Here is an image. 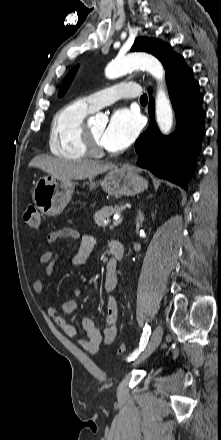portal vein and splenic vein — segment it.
Returning <instances> with one entry per match:
<instances>
[{"instance_id": "portal-vein-and-splenic-vein-1", "label": "portal vein and splenic vein", "mask_w": 221, "mask_h": 440, "mask_svg": "<svg viewBox=\"0 0 221 440\" xmlns=\"http://www.w3.org/2000/svg\"><path fill=\"white\" fill-rule=\"evenodd\" d=\"M123 221L122 217H117L114 219L112 226H118L119 224H121Z\"/></svg>"}]
</instances>
